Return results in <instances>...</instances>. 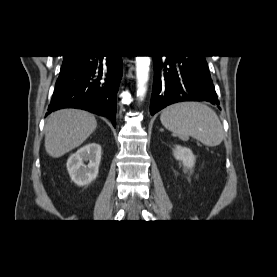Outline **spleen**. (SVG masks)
<instances>
[{
	"label": "spleen",
	"mask_w": 277,
	"mask_h": 277,
	"mask_svg": "<svg viewBox=\"0 0 277 277\" xmlns=\"http://www.w3.org/2000/svg\"><path fill=\"white\" fill-rule=\"evenodd\" d=\"M162 125L182 140L190 136L206 146H217L224 138L223 127L217 114L198 102L173 104L161 113Z\"/></svg>",
	"instance_id": "spleen-1"
}]
</instances>
